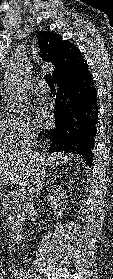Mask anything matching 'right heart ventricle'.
<instances>
[{
  "label": "right heart ventricle",
  "instance_id": "1",
  "mask_svg": "<svg viewBox=\"0 0 113 279\" xmlns=\"http://www.w3.org/2000/svg\"><path fill=\"white\" fill-rule=\"evenodd\" d=\"M10 128L11 118L0 109V146L8 145L13 141Z\"/></svg>",
  "mask_w": 113,
  "mask_h": 279
}]
</instances>
